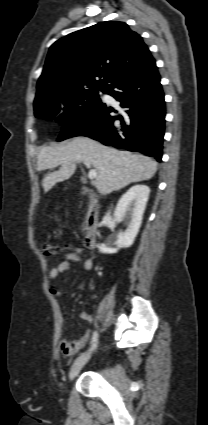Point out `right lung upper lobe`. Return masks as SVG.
<instances>
[{"instance_id":"obj_1","label":"right lung upper lobe","mask_w":208,"mask_h":425,"mask_svg":"<svg viewBox=\"0 0 208 425\" xmlns=\"http://www.w3.org/2000/svg\"><path fill=\"white\" fill-rule=\"evenodd\" d=\"M149 53L142 37L124 22L105 21L73 32L50 47L34 102L82 89L106 88L120 71Z\"/></svg>"}]
</instances>
